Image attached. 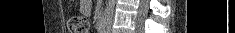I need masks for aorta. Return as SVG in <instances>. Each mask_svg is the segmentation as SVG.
<instances>
[{
	"instance_id": "obj_1",
	"label": "aorta",
	"mask_w": 235,
	"mask_h": 33,
	"mask_svg": "<svg viewBox=\"0 0 235 33\" xmlns=\"http://www.w3.org/2000/svg\"><path fill=\"white\" fill-rule=\"evenodd\" d=\"M115 8V0H108L103 16L104 30L109 31Z\"/></svg>"
}]
</instances>
